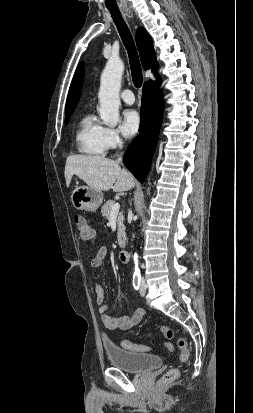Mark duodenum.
Segmentation results:
<instances>
[{"instance_id": "duodenum-1", "label": "duodenum", "mask_w": 253, "mask_h": 413, "mask_svg": "<svg viewBox=\"0 0 253 413\" xmlns=\"http://www.w3.org/2000/svg\"><path fill=\"white\" fill-rule=\"evenodd\" d=\"M119 259L122 263H127L130 259L129 251L126 248H122L119 252Z\"/></svg>"}]
</instances>
